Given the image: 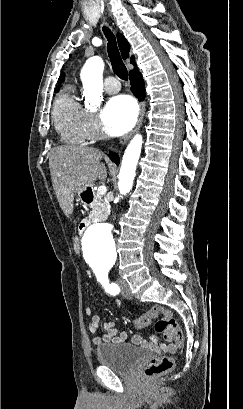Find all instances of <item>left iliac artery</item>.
I'll use <instances>...</instances> for the list:
<instances>
[{"mask_svg": "<svg viewBox=\"0 0 243 409\" xmlns=\"http://www.w3.org/2000/svg\"><path fill=\"white\" fill-rule=\"evenodd\" d=\"M97 280L102 284L105 288L106 292L116 295L119 293L120 289L117 284L110 283L108 279V270H97L95 271Z\"/></svg>", "mask_w": 243, "mask_h": 409, "instance_id": "44dca946", "label": "left iliac artery"}]
</instances>
